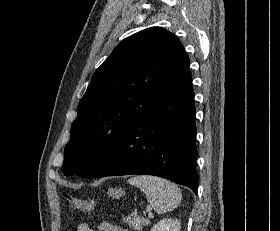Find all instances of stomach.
<instances>
[{
  "label": "stomach",
  "mask_w": 280,
  "mask_h": 231,
  "mask_svg": "<svg viewBox=\"0 0 280 231\" xmlns=\"http://www.w3.org/2000/svg\"><path fill=\"white\" fill-rule=\"evenodd\" d=\"M108 195H112L115 199H120L124 195L125 191L122 187H109L107 191Z\"/></svg>",
  "instance_id": "1"
}]
</instances>
